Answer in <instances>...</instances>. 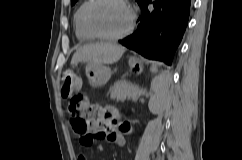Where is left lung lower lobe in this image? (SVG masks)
I'll return each mask as SVG.
<instances>
[{"label": "left lung lower lobe", "mask_w": 242, "mask_h": 160, "mask_svg": "<svg viewBox=\"0 0 242 160\" xmlns=\"http://www.w3.org/2000/svg\"><path fill=\"white\" fill-rule=\"evenodd\" d=\"M190 6L191 0H144L139 24L119 43L146 58L171 65L188 23Z\"/></svg>", "instance_id": "1"}]
</instances>
